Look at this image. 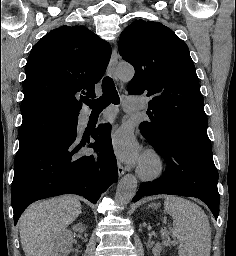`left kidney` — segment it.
<instances>
[{
    "label": "left kidney",
    "mask_w": 236,
    "mask_h": 256,
    "mask_svg": "<svg viewBox=\"0 0 236 256\" xmlns=\"http://www.w3.org/2000/svg\"><path fill=\"white\" fill-rule=\"evenodd\" d=\"M162 250L161 244H155L154 248H152L153 256H160Z\"/></svg>",
    "instance_id": "obj_1"
}]
</instances>
